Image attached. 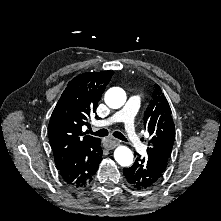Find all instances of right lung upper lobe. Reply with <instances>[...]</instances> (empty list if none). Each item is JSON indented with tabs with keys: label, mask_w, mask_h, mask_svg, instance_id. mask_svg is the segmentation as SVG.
<instances>
[{
	"label": "right lung upper lobe",
	"mask_w": 221,
	"mask_h": 221,
	"mask_svg": "<svg viewBox=\"0 0 221 221\" xmlns=\"http://www.w3.org/2000/svg\"><path fill=\"white\" fill-rule=\"evenodd\" d=\"M113 71L87 72L71 80L62 93L48 125V134L56 166L72 153L97 138L85 135L98 101L109 83Z\"/></svg>",
	"instance_id": "cb5924a9"
}]
</instances>
